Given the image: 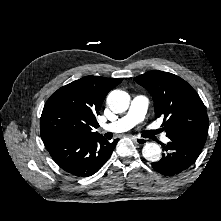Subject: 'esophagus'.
<instances>
[{
	"label": "esophagus",
	"mask_w": 221,
	"mask_h": 221,
	"mask_svg": "<svg viewBox=\"0 0 221 221\" xmlns=\"http://www.w3.org/2000/svg\"><path fill=\"white\" fill-rule=\"evenodd\" d=\"M133 140L138 145H144L147 143V139L142 138V137H134Z\"/></svg>",
	"instance_id": "obj_1"
}]
</instances>
